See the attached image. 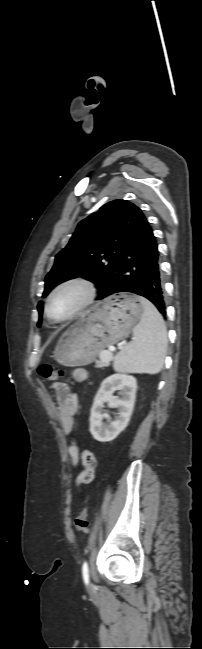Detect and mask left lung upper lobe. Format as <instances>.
<instances>
[{
    "label": "left lung upper lobe",
    "instance_id": "obj_1",
    "mask_svg": "<svg viewBox=\"0 0 202 649\" xmlns=\"http://www.w3.org/2000/svg\"><path fill=\"white\" fill-rule=\"evenodd\" d=\"M144 218L133 203L114 200L82 220L68 245L56 255L45 278L43 297L59 283L81 275L97 279L104 290L114 275L125 243ZM38 311L40 326L43 302H39Z\"/></svg>",
    "mask_w": 202,
    "mask_h": 649
}]
</instances>
